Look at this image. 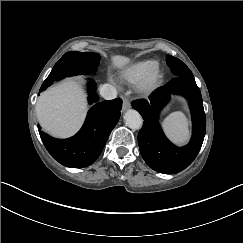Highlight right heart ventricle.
I'll return each instance as SVG.
<instances>
[{
	"instance_id": "e07e8e85",
	"label": "right heart ventricle",
	"mask_w": 243,
	"mask_h": 243,
	"mask_svg": "<svg viewBox=\"0 0 243 243\" xmlns=\"http://www.w3.org/2000/svg\"><path fill=\"white\" fill-rule=\"evenodd\" d=\"M160 62L156 59H138L125 64L118 72L119 81L129 87L139 86Z\"/></svg>"
}]
</instances>
